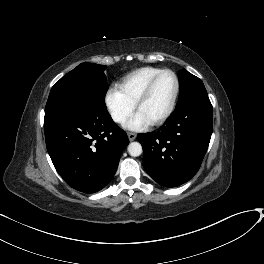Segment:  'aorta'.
Instances as JSON below:
<instances>
[{
    "instance_id": "762f6f07",
    "label": "aorta",
    "mask_w": 264,
    "mask_h": 264,
    "mask_svg": "<svg viewBox=\"0 0 264 264\" xmlns=\"http://www.w3.org/2000/svg\"><path fill=\"white\" fill-rule=\"evenodd\" d=\"M128 153L133 156V157H137L139 155H141L142 153V146L140 143L138 142H132L129 144L128 146Z\"/></svg>"
}]
</instances>
